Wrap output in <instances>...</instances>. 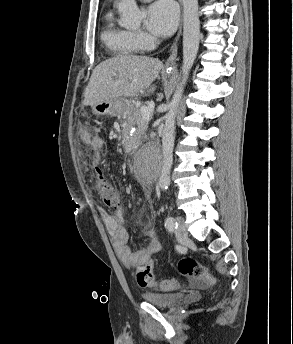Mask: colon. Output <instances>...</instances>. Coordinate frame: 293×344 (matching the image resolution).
I'll return each instance as SVG.
<instances>
[{"instance_id": "colon-1", "label": "colon", "mask_w": 293, "mask_h": 344, "mask_svg": "<svg viewBox=\"0 0 293 344\" xmlns=\"http://www.w3.org/2000/svg\"><path fill=\"white\" fill-rule=\"evenodd\" d=\"M98 186L100 196L106 206L116 208L121 203V196L119 192L111 185L108 179L104 176L98 178ZM154 263L148 260L143 266L136 271V281L140 287H159L164 290H171L179 287L176 280H165L158 282L153 274ZM179 273L195 282L211 281V277L207 272L206 267L199 261L184 257L178 262Z\"/></svg>"}]
</instances>
